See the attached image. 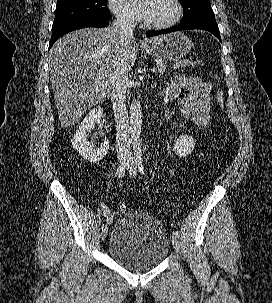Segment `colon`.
Returning a JSON list of instances; mask_svg holds the SVG:
<instances>
[{
	"label": "colon",
	"instance_id": "obj_1",
	"mask_svg": "<svg viewBox=\"0 0 272 303\" xmlns=\"http://www.w3.org/2000/svg\"><path fill=\"white\" fill-rule=\"evenodd\" d=\"M199 65L198 61L189 59V58H182V59H178L176 61L173 62L172 64V69L176 72L182 71L184 69L193 67V66H197ZM216 100H217V104L220 108H223L224 105V93L222 90H217L216 93ZM120 209L121 211H125L126 210V206L125 204H121L120 205Z\"/></svg>",
	"mask_w": 272,
	"mask_h": 303
}]
</instances>
